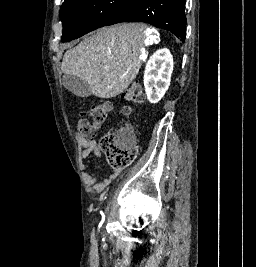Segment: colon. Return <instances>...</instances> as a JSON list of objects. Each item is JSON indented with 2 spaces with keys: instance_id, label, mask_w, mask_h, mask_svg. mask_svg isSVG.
<instances>
[{
  "instance_id": "colon-1",
  "label": "colon",
  "mask_w": 256,
  "mask_h": 267,
  "mask_svg": "<svg viewBox=\"0 0 256 267\" xmlns=\"http://www.w3.org/2000/svg\"><path fill=\"white\" fill-rule=\"evenodd\" d=\"M127 103H142L144 89L138 82L131 83L123 93ZM112 109L110 102L92 106L87 112H83L77 122L78 132L85 139H93L100 127L109 117ZM131 109L128 106L122 108V114L128 115ZM135 133L129 126H125L117 133L105 135L100 140V148L105 153L111 167L123 168L131 164L136 157L137 142Z\"/></svg>"
}]
</instances>
